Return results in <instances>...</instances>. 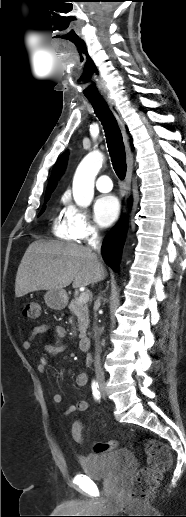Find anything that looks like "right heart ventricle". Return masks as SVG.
Here are the masks:
<instances>
[{"instance_id":"1","label":"right heart ventricle","mask_w":186,"mask_h":517,"mask_svg":"<svg viewBox=\"0 0 186 517\" xmlns=\"http://www.w3.org/2000/svg\"><path fill=\"white\" fill-rule=\"evenodd\" d=\"M52 230L56 237L72 242L76 240L62 215H57L52 223Z\"/></svg>"}]
</instances>
